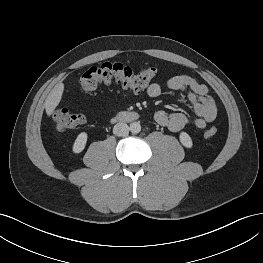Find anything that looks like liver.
I'll return each mask as SVG.
<instances>
[{
	"label": "liver",
	"instance_id": "6515ba94",
	"mask_svg": "<svg viewBox=\"0 0 263 263\" xmlns=\"http://www.w3.org/2000/svg\"><path fill=\"white\" fill-rule=\"evenodd\" d=\"M63 92L64 84L59 83L53 88V90L49 93L48 97L46 98L44 105L46 113L49 117L53 114L55 108L59 105L62 99Z\"/></svg>",
	"mask_w": 263,
	"mask_h": 263
}]
</instances>
